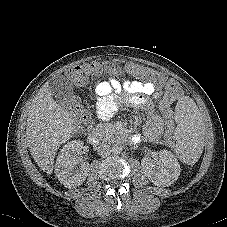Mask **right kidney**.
<instances>
[{"label":"right kidney","mask_w":227,"mask_h":227,"mask_svg":"<svg viewBox=\"0 0 227 227\" xmlns=\"http://www.w3.org/2000/svg\"><path fill=\"white\" fill-rule=\"evenodd\" d=\"M83 142L80 140L70 141L63 146L57 157L55 173L65 187L72 188L80 186L89 174V163L83 162L79 168L78 155L82 152Z\"/></svg>","instance_id":"right-kidney-1"}]
</instances>
